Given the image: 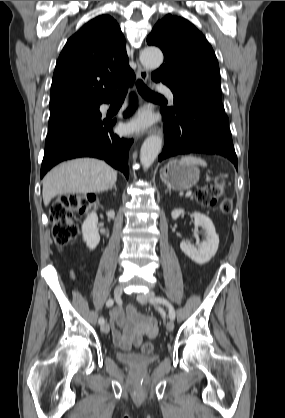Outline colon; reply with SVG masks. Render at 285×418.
Wrapping results in <instances>:
<instances>
[{
  "mask_svg": "<svg viewBox=\"0 0 285 418\" xmlns=\"http://www.w3.org/2000/svg\"><path fill=\"white\" fill-rule=\"evenodd\" d=\"M196 200L203 207L215 206L218 202L222 212L231 210L230 197L224 193L220 183H213L199 188L196 192ZM92 204L83 195L63 194L51 206L50 220L53 225V238L58 247H63L73 241L78 235V227L73 222V217L81 212H90ZM144 353H152L154 345L145 342L141 347Z\"/></svg>",
  "mask_w": 285,
  "mask_h": 418,
  "instance_id": "5ec220e1",
  "label": "colon"
}]
</instances>
